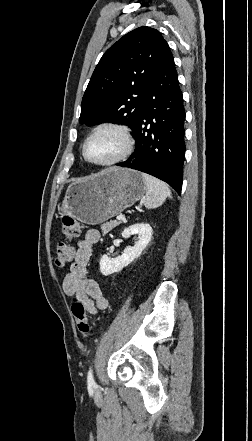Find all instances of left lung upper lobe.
Returning a JSON list of instances; mask_svg holds the SVG:
<instances>
[{"mask_svg":"<svg viewBox=\"0 0 252 441\" xmlns=\"http://www.w3.org/2000/svg\"><path fill=\"white\" fill-rule=\"evenodd\" d=\"M165 42L156 29L143 26L111 46L92 74L82 99L79 122L87 125L124 123L134 136Z\"/></svg>","mask_w":252,"mask_h":441,"instance_id":"obj_1","label":"left lung upper lobe"}]
</instances>
